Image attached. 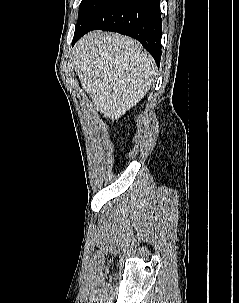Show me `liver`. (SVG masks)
I'll return each mask as SVG.
<instances>
[{
  "mask_svg": "<svg viewBox=\"0 0 239 303\" xmlns=\"http://www.w3.org/2000/svg\"><path fill=\"white\" fill-rule=\"evenodd\" d=\"M75 71L97 111L112 121L136 106L156 75L152 56L118 33L93 31L73 51Z\"/></svg>",
  "mask_w": 239,
  "mask_h": 303,
  "instance_id": "1",
  "label": "liver"
}]
</instances>
